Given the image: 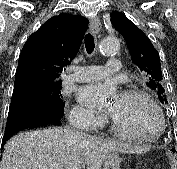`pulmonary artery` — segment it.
Returning a JSON list of instances; mask_svg holds the SVG:
<instances>
[{
	"mask_svg": "<svg viewBox=\"0 0 177 169\" xmlns=\"http://www.w3.org/2000/svg\"><path fill=\"white\" fill-rule=\"evenodd\" d=\"M121 62L116 57H110L107 61V67L91 65V66H74L72 73L66 77L69 82H90L104 78L108 74L119 72Z\"/></svg>",
	"mask_w": 177,
	"mask_h": 169,
	"instance_id": "1",
	"label": "pulmonary artery"
}]
</instances>
